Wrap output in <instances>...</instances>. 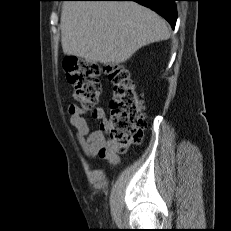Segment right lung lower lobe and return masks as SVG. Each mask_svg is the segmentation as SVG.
Here are the masks:
<instances>
[{
    "mask_svg": "<svg viewBox=\"0 0 231 231\" xmlns=\"http://www.w3.org/2000/svg\"><path fill=\"white\" fill-rule=\"evenodd\" d=\"M82 1H135L139 4H142L146 7L151 8L162 17H164L174 28L177 11L174 1L176 0H82Z\"/></svg>",
    "mask_w": 231,
    "mask_h": 231,
    "instance_id": "98d812e1",
    "label": "right lung lower lobe"
}]
</instances>
